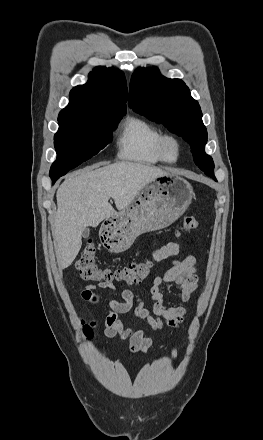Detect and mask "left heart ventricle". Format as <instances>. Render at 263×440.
I'll use <instances>...</instances> for the list:
<instances>
[{"mask_svg":"<svg viewBox=\"0 0 263 440\" xmlns=\"http://www.w3.org/2000/svg\"><path fill=\"white\" fill-rule=\"evenodd\" d=\"M166 151L169 158H174L176 155V147L172 142H168L166 145Z\"/></svg>","mask_w":263,"mask_h":440,"instance_id":"b2bd125f","label":"left heart ventricle"}]
</instances>
